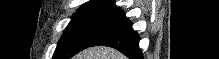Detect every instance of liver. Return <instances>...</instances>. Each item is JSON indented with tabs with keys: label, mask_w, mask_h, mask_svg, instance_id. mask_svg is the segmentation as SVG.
Instances as JSON below:
<instances>
[{
	"label": "liver",
	"mask_w": 219,
	"mask_h": 59,
	"mask_svg": "<svg viewBox=\"0 0 219 59\" xmlns=\"http://www.w3.org/2000/svg\"><path fill=\"white\" fill-rule=\"evenodd\" d=\"M74 59H127L122 53L117 50L104 46L88 48L79 54Z\"/></svg>",
	"instance_id": "liver-1"
}]
</instances>
